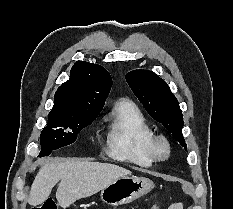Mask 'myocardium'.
I'll list each match as a JSON object with an SVG mask.
<instances>
[{
  "instance_id": "1",
  "label": "myocardium",
  "mask_w": 233,
  "mask_h": 209,
  "mask_svg": "<svg viewBox=\"0 0 233 209\" xmlns=\"http://www.w3.org/2000/svg\"><path fill=\"white\" fill-rule=\"evenodd\" d=\"M153 154L156 159L165 160L170 156L171 145L164 136H156L152 145Z\"/></svg>"
}]
</instances>
